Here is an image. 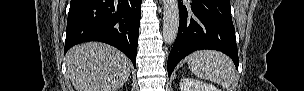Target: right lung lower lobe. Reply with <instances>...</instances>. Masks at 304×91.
I'll return each instance as SVG.
<instances>
[{
	"label": "right lung lower lobe",
	"instance_id": "98d812e1",
	"mask_svg": "<svg viewBox=\"0 0 304 91\" xmlns=\"http://www.w3.org/2000/svg\"><path fill=\"white\" fill-rule=\"evenodd\" d=\"M142 0H71L65 52L75 44L100 41L121 50L136 67Z\"/></svg>",
	"mask_w": 304,
	"mask_h": 91
}]
</instances>
